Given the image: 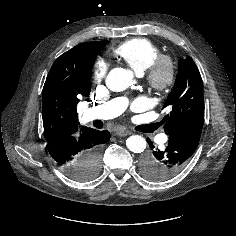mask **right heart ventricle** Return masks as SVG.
Returning a JSON list of instances; mask_svg holds the SVG:
<instances>
[{"label":"right heart ventricle","mask_w":236,"mask_h":236,"mask_svg":"<svg viewBox=\"0 0 236 236\" xmlns=\"http://www.w3.org/2000/svg\"><path fill=\"white\" fill-rule=\"evenodd\" d=\"M161 54V48L152 40L136 37L126 40L113 49V55L142 73Z\"/></svg>","instance_id":"right-heart-ventricle-1"}]
</instances>
